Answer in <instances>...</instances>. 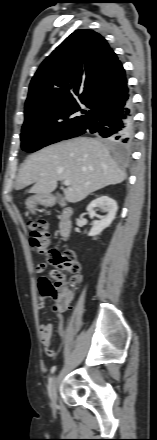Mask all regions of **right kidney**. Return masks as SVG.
Returning a JSON list of instances; mask_svg holds the SVG:
<instances>
[{
  "mask_svg": "<svg viewBox=\"0 0 157 440\" xmlns=\"http://www.w3.org/2000/svg\"><path fill=\"white\" fill-rule=\"evenodd\" d=\"M96 208H100L103 211L107 212V215L101 217L100 220L93 221L92 228L88 234L89 236H97L104 229L109 227L112 221L115 219V215L118 209L116 201L107 195H102L96 198L88 205L86 210L90 218H93L95 216Z\"/></svg>",
  "mask_w": 157,
  "mask_h": 440,
  "instance_id": "ca27d5eb",
  "label": "right kidney"
}]
</instances>
